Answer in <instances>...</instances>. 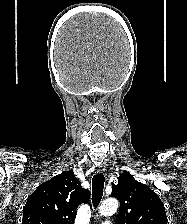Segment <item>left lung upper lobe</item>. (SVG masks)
I'll return each mask as SVG.
<instances>
[{"label":"left lung upper lobe","mask_w":187,"mask_h":224,"mask_svg":"<svg viewBox=\"0 0 187 224\" xmlns=\"http://www.w3.org/2000/svg\"><path fill=\"white\" fill-rule=\"evenodd\" d=\"M111 196L120 201L116 224H167L165 208L150 187L134 179L127 171L112 185Z\"/></svg>","instance_id":"1"}]
</instances>
